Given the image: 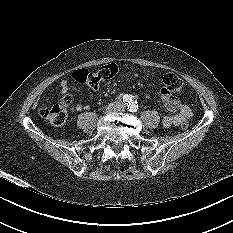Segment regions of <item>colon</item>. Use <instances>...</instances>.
<instances>
[{
  "instance_id": "obj_1",
  "label": "colon",
  "mask_w": 233,
  "mask_h": 233,
  "mask_svg": "<svg viewBox=\"0 0 233 233\" xmlns=\"http://www.w3.org/2000/svg\"><path fill=\"white\" fill-rule=\"evenodd\" d=\"M118 73L116 64H106L94 71L87 69H79L73 73V78L76 82L87 85L91 88H98L104 81L112 80ZM163 90L169 95L182 93L184 89L183 80L172 72H164L160 75ZM70 103L68 97H63L58 104L50 107H42L39 111L42 118L48 121L52 126L60 128L65 125L67 121V106ZM188 122H183L181 127L187 129Z\"/></svg>"
}]
</instances>
